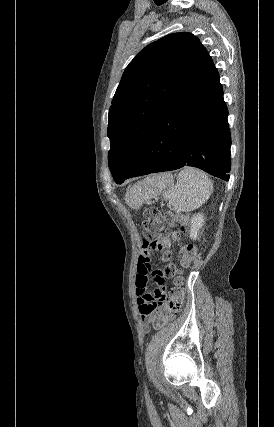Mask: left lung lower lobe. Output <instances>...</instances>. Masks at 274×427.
Segmentation results:
<instances>
[{
	"label": "left lung lower lobe",
	"mask_w": 274,
	"mask_h": 427,
	"mask_svg": "<svg viewBox=\"0 0 274 427\" xmlns=\"http://www.w3.org/2000/svg\"><path fill=\"white\" fill-rule=\"evenodd\" d=\"M218 71L209 57L152 127L125 179L184 166L229 180L230 131Z\"/></svg>",
	"instance_id": "0a47b994"
}]
</instances>
